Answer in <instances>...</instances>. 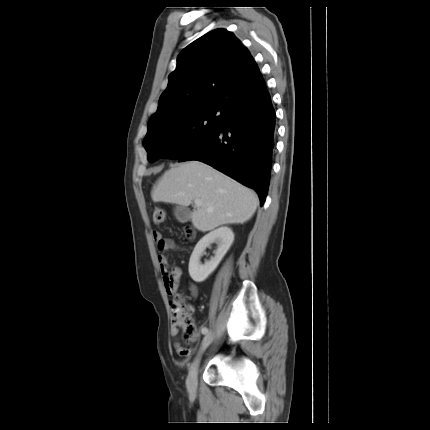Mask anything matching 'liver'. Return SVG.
<instances>
[{
	"label": "liver",
	"mask_w": 430,
	"mask_h": 430,
	"mask_svg": "<svg viewBox=\"0 0 430 430\" xmlns=\"http://www.w3.org/2000/svg\"><path fill=\"white\" fill-rule=\"evenodd\" d=\"M154 202L203 205L191 213L192 224L202 232L225 224H243L256 211L258 197L250 189L201 161H188L166 171L151 192Z\"/></svg>",
	"instance_id": "1"
}]
</instances>
